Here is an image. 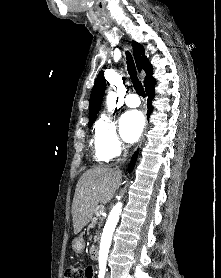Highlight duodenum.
I'll return each mask as SVG.
<instances>
[{
    "instance_id": "1",
    "label": "duodenum",
    "mask_w": 221,
    "mask_h": 278,
    "mask_svg": "<svg viewBox=\"0 0 221 278\" xmlns=\"http://www.w3.org/2000/svg\"><path fill=\"white\" fill-rule=\"evenodd\" d=\"M98 256H99L98 248L96 246H93L91 248V257H92L93 260H97Z\"/></svg>"
}]
</instances>
